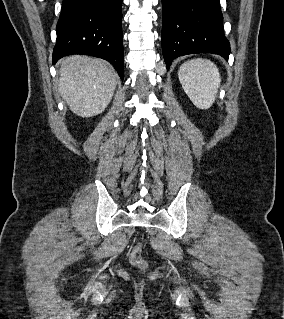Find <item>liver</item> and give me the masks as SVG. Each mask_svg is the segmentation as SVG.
Returning <instances> with one entry per match:
<instances>
[{"mask_svg": "<svg viewBox=\"0 0 284 319\" xmlns=\"http://www.w3.org/2000/svg\"><path fill=\"white\" fill-rule=\"evenodd\" d=\"M59 92L70 110L92 117L105 110L117 85V74L101 59L72 55L60 62Z\"/></svg>", "mask_w": 284, "mask_h": 319, "instance_id": "obj_1", "label": "liver"}]
</instances>
